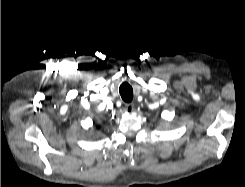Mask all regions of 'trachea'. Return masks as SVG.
I'll return each mask as SVG.
<instances>
[{
  "label": "trachea",
  "instance_id": "trachea-1",
  "mask_svg": "<svg viewBox=\"0 0 245 187\" xmlns=\"http://www.w3.org/2000/svg\"><path fill=\"white\" fill-rule=\"evenodd\" d=\"M119 93L123 99V101L129 103L133 99V89L132 87L127 83L124 82L119 87Z\"/></svg>",
  "mask_w": 245,
  "mask_h": 187
}]
</instances>
